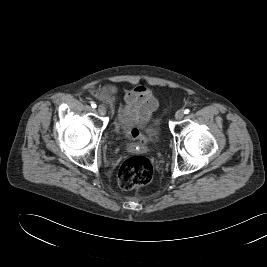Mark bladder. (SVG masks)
Segmentation results:
<instances>
[{"mask_svg":"<svg viewBox=\"0 0 267 267\" xmlns=\"http://www.w3.org/2000/svg\"><path fill=\"white\" fill-rule=\"evenodd\" d=\"M135 149V147L133 146V145H128V150H134Z\"/></svg>","mask_w":267,"mask_h":267,"instance_id":"31cf9c89","label":"bladder"}]
</instances>
